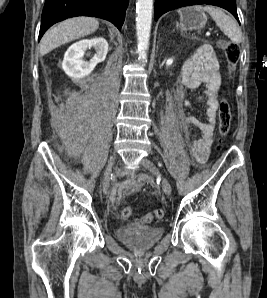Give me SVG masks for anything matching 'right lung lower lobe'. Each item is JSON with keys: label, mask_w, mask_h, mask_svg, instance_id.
Masks as SVG:
<instances>
[{"label": "right lung lower lobe", "mask_w": 267, "mask_h": 298, "mask_svg": "<svg viewBox=\"0 0 267 298\" xmlns=\"http://www.w3.org/2000/svg\"><path fill=\"white\" fill-rule=\"evenodd\" d=\"M128 0H46L39 40L56 22L75 16H92L112 22L119 30L124 22Z\"/></svg>", "instance_id": "98d812e1"}]
</instances>
